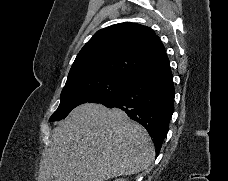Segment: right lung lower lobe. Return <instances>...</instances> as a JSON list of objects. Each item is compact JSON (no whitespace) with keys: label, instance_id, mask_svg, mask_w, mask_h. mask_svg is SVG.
Masks as SVG:
<instances>
[{"label":"right lung lower lobe","instance_id":"right-lung-lower-lobe-1","mask_svg":"<svg viewBox=\"0 0 228 181\" xmlns=\"http://www.w3.org/2000/svg\"><path fill=\"white\" fill-rule=\"evenodd\" d=\"M174 97L173 76L166 59L136 74L119 94L101 104L120 108L142 124L152 137L158 155L169 130Z\"/></svg>","mask_w":228,"mask_h":181}]
</instances>
